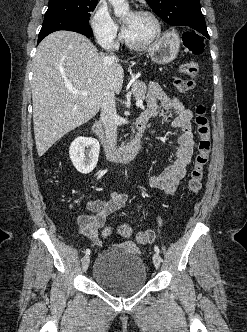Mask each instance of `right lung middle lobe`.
Returning <instances> with one entry per match:
<instances>
[{"label": "right lung middle lobe", "mask_w": 247, "mask_h": 332, "mask_svg": "<svg viewBox=\"0 0 247 332\" xmlns=\"http://www.w3.org/2000/svg\"><path fill=\"white\" fill-rule=\"evenodd\" d=\"M97 0H49L46 17L70 16L89 21L90 12L94 11Z\"/></svg>", "instance_id": "dd1d6c3e"}]
</instances>
